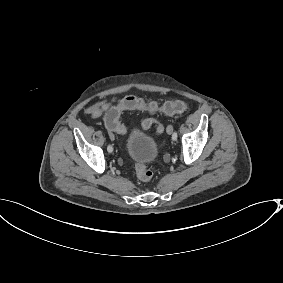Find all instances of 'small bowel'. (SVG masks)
Here are the masks:
<instances>
[{"label":"small bowel","instance_id":"1","mask_svg":"<svg viewBox=\"0 0 283 283\" xmlns=\"http://www.w3.org/2000/svg\"><path fill=\"white\" fill-rule=\"evenodd\" d=\"M115 99L104 100L97 102L86 109V113L92 118L101 116L104 112L116 107L114 106Z\"/></svg>","mask_w":283,"mask_h":283}]
</instances>
